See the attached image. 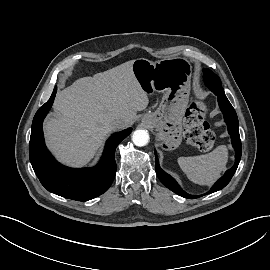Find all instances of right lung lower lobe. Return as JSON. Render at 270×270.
Listing matches in <instances>:
<instances>
[{
    "label": "right lung lower lobe",
    "instance_id": "right-lung-lower-lobe-1",
    "mask_svg": "<svg viewBox=\"0 0 270 270\" xmlns=\"http://www.w3.org/2000/svg\"><path fill=\"white\" fill-rule=\"evenodd\" d=\"M56 91L57 87L34 116L29 144L30 162L35 174L48 191L73 200H91L111 186L116 174L115 149L131 133V128L108 139L102 159L96 167L84 169L65 167L47 150L42 130L43 120L53 104Z\"/></svg>",
    "mask_w": 270,
    "mask_h": 270
}]
</instances>
